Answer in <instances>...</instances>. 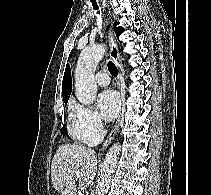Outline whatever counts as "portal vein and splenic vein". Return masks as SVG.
<instances>
[{"label":"portal vein and splenic vein","instance_id":"18ae733b","mask_svg":"<svg viewBox=\"0 0 211 195\" xmlns=\"http://www.w3.org/2000/svg\"><path fill=\"white\" fill-rule=\"evenodd\" d=\"M80 174L78 172H76V177H79ZM78 195H83L82 192H79Z\"/></svg>","mask_w":211,"mask_h":195}]
</instances>
